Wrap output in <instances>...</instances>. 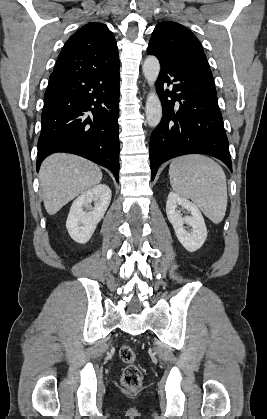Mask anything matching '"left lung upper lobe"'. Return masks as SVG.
Instances as JSON below:
<instances>
[{"label": "left lung upper lobe", "mask_w": 267, "mask_h": 419, "mask_svg": "<svg viewBox=\"0 0 267 419\" xmlns=\"http://www.w3.org/2000/svg\"><path fill=\"white\" fill-rule=\"evenodd\" d=\"M147 52L161 62L192 67L212 75L200 41L179 23L160 22L152 33Z\"/></svg>", "instance_id": "5c2ea615"}]
</instances>
